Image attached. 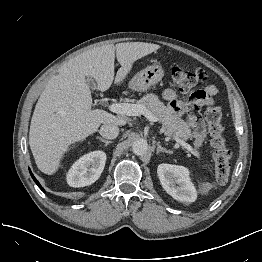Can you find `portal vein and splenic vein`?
<instances>
[{"label": "portal vein and splenic vein", "mask_w": 262, "mask_h": 262, "mask_svg": "<svg viewBox=\"0 0 262 262\" xmlns=\"http://www.w3.org/2000/svg\"><path fill=\"white\" fill-rule=\"evenodd\" d=\"M110 111L127 116H138V115H145V117L153 122L157 121V118L148 111L145 107L139 104H130V103H112L108 105ZM176 142H178L181 146L186 148L192 154L198 156V153L185 141L175 138Z\"/></svg>", "instance_id": "obj_1"}]
</instances>
